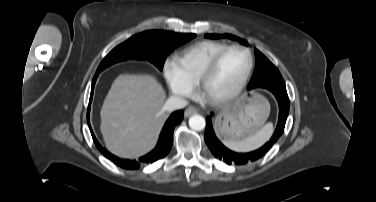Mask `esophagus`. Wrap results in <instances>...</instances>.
I'll list each match as a JSON object with an SVG mask.
<instances>
[{"label":"esophagus","mask_w":376,"mask_h":202,"mask_svg":"<svg viewBox=\"0 0 376 202\" xmlns=\"http://www.w3.org/2000/svg\"><path fill=\"white\" fill-rule=\"evenodd\" d=\"M197 113V109L193 106H189L186 110H185V117H189L193 114Z\"/></svg>","instance_id":"34e87169"}]
</instances>
